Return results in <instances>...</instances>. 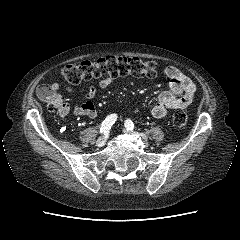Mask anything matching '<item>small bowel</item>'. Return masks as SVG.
<instances>
[{"mask_svg":"<svg viewBox=\"0 0 240 240\" xmlns=\"http://www.w3.org/2000/svg\"><path fill=\"white\" fill-rule=\"evenodd\" d=\"M165 76L169 79V90L163 91L158 98V101L153 105L151 113L155 118L165 117L169 110L184 109L188 107L194 100L196 94V86L192 80L183 74L178 68L169 66L164 70ZM114 83L113 78H103L98 82L100 89H107ZM54 89L60 87L59 84H52ZM66 91L73 92L71 87H66ZM97 88L95 85H89L87 92L82 102L76 104L73 108L70 104L62 102L58 110L60 116H67L72 112L76 117L97 116L94 98Z\"/></svg>","mask_w":240,"mask_h":240,"instance_id":"1","label":"small bowel"}]
</instances>
